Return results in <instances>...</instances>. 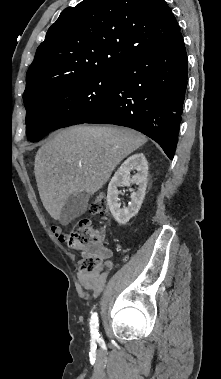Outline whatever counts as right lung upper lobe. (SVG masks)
Returning <instances> with one entry per match:
<instances>
[{"mask_svg": "<svg viewBox=\"0 0 221 379\" xmlns=\"http://www.w3.org/2000/svg\"><path fill=\"white\" fill-rule=\"evenodd\" d=\"M178 32L164 0H84L68 7L37 48L24 103L77 77L118 69Z\"/></svg>", "mask_w": 221, "mask_h": 379, "instance_id": "1", "label": "right lung upper lobe"}]
</instances>
